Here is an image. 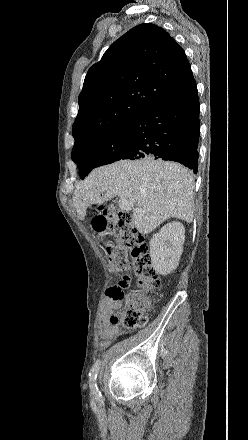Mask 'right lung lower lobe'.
I'll use <instances>...</instances> for the list:
<instances>
[{
  "mask_svg": "<svg viewBox=\"0 0 248 440\" xmlns=\"http://www.w3.org/2000/svg\"><path fill=\"white\" fill-rule=\"evenodd\" d=\"M199 112L196 85L150 104L127 123L130 142L121 159L172 160L197 173Z\"/></svg>",
  "mask_w": 248,
  "mask_h": 440,
  "instance_id": "obj_1",
  "label": "right lung lower lobe"
}]
</instances>
